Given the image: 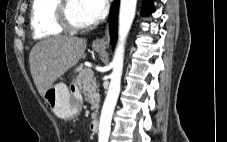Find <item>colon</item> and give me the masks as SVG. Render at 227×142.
Masks as SVG:
<instances>
[{"instance_id": "1", "label": "colon", "mask_w": 227, "mask_h": 142, "mask_svg": "<svg viewBox=\"0 0 227 142\" xmlns=\"http://www.w3.org/2000/svg\"><path fill=\"white\" fill-rule=\"evenodd\" d=\"M72 142H83V141L79 138H75V139L72 140Z\"/></svg>"}]
</instances>
